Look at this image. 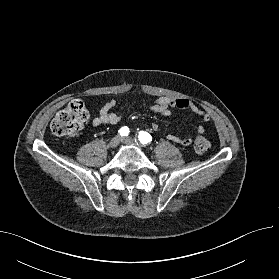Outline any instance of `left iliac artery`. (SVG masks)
<instances>
[{
    "label": "left iliac artery",
    "mask_w": 279,
    "mask_h": 279,
    "mask_svg": "<svg viewBox=\"0 0 279 279\" xmlns=\"http://www.w3.org/2000/svg\"><path fill=\"white\" fill-rule=\"evenodd\" d=\"M138 140L142 144H148L152 141V136L145 131H140L138 135Z\"/></svg>",
    "instance_id": "44dca946"
}]
</instances>
